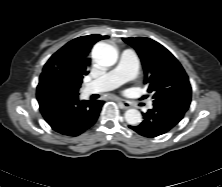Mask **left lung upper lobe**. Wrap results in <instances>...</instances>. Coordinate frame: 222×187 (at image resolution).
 I'll return each instance as SVG.
<instances>
[{
  "label": "left lung upper lobe",
  "instance_id": "5c2ea615",
  "mask_svg": "<svg viewBox=\"0 0 222 187\" xmlns=\"http://www.w3.org/2000/svg\"><path fill=\"white\" fill-rule=\"evenodd\" d=\"M138 53L143 69L144 83L153 98L180 91L191 92L188 76L179 61L161 44L144 37L123 38Z\"/></svg>",
  "mask_w": 222,
  "mask_h": 187
}]
</instances>
